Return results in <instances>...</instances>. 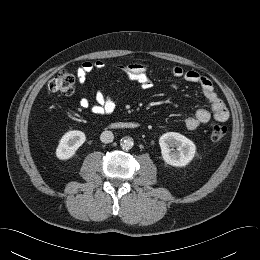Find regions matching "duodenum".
Here are the masks:
<instances>
[{
    "instance_id": "410a0bca",
    "label": "duodenum",
    "mask_w": 260,
    "mask_h": 260,
    "mask_svg": "<svg viewBox=\"0 0 260 260\" xmlns=\"http://www.w3.org/2000/svg\"><path fill=\"white\" fill-rule=\"evenodd\" d=\"M111 126L115 129L137 130L140 128L141 125L137 122H120L113 123Z\"/></svg>"
}]
</instances>
